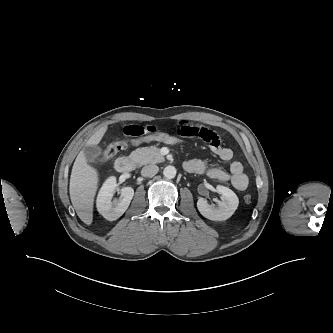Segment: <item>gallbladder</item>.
I'll return each instance as SVG.
<instances>
[{"label":"gallbladder","instance_id":"bac80fb5","mask_svg":"<svg viewBox=\"0 0 333 333\" xmlns=\"http://www.w3.org/2000/svg\"><path fill=\"white\" fill-rule=\"evenodd\" d=\"M84 154L90 162H100L101 149L96 145L86 146L83 149Z\"/></svg>","mask_w":333,"mask_h":333}]
</instances>
